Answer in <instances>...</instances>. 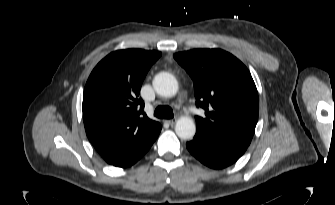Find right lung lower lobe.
<instances>
[{
	"label": "right lung lower lobe",
	"mask_w": 335,
	"mask_h": 205,
	"mask_svg": "<svg viewBox=\"0 0 335 205\" xmlns=\"http://www.w3.org/2000/svg\"><path fill=\"white\" fill-rule=\"evenodd\" d=\"M140 159V158H139ZM138 160L134 161V162H131V163H128V164H123V165H119L118 167H127V166H130L132 164H134L135 162H137Z\"/></svg>",
	"instance_id": "obj_1"
}]
</instances>
